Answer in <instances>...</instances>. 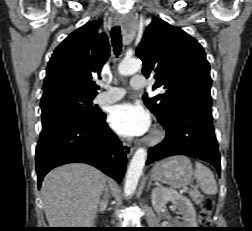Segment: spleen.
Wrapping results in <instances>:
<instances>
[{
    "label": "spleen",
    "instance_id": "obj_1",
    "mask_svg": "<svg viewBox=\"0 0 252 231\" xmlns=\"http://www.w3.org/2000/svg\"><path fill=\"white\" fill-rule=\"evenodd\" d=\"M195 178L199 181L201 190L205 194L214 195L217 193L218 188L213 173L199 162L196 163Z\"/></svg>",
    "mask_w": 252,
    "mask_h": 231
}]
</instances>
